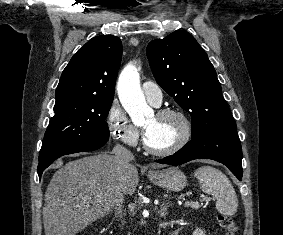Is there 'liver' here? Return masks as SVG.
Returning <instances> with one entry per match:
<instances>
[{"mask_svg":"<svg viewBox=\"0 0 283 235\" xmlns=\"http://www.w3.org/2000/svg\"><path fill=\"white\" fill-rule=\"evenodd\" d=\"M157 168L161 165L150 164ZM121 174L113 156L96 154L69 161L53 175L43 207L45 235H76L115 206L116 190L132 195L139 182L135 165L129 163Z\"/></svg>","mask_w":283,"mask_h":235,"instance_id":"1","label":"liver"}]
</instances>
